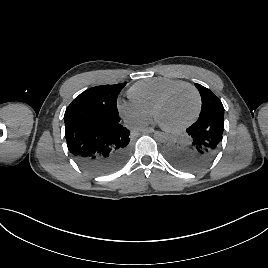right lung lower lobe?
I'll list each match as a JSON object with an SVG mask.
<instances>
[{"instance_id": "right-lung-lower-lobe-1", "label": "right lung lower lobe", "mask_w": 268, "mask_h": 268, "mask_svg": "<svg viewBox=\"0 0 268 268\" xmlns=\"http://www.w3.org/2000/svg\"><path fill=\"white\" fill-rule=\"evenodd\" d=\"M65 137L73 158L86 171L106 175L119 170L130 154V131L118 113L79 107L65 113Z\"/></svg>"}]
</instances>
